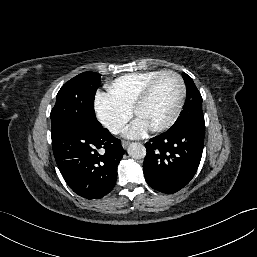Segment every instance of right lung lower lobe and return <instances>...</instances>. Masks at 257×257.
Listing matches in <instances>:
<instances>
[{
  "label": "right lung lower lobe",
  "instance_id": "obj_1",
  "mask_svg": "<svg viewBox=\"0 0 257 257\" xmlns=\"http://www.w3.org/2000/svg\"><path fill=\"white\" fill-rule=\"evenodd\" d=\"M52 147L64 180L79 196L98 199L115 186L124 149L107 129H69L52 139Z\"/></svg>",
  "mask_w": 257,
  "mask_h": 257
}]
</instances>
